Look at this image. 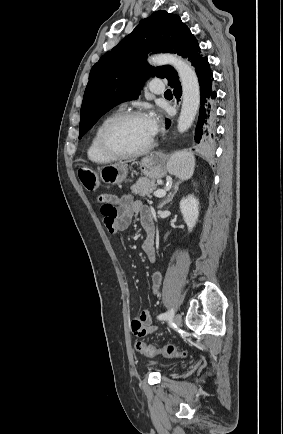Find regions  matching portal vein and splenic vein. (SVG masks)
Here are the masks:
<instances>
[{
    "mask_svg": "<svg viewBox=\"0 0 283 434\" xmlns=\"http://www.w3.org/2000/svg\"><path fill=\"white\" fill-rule=\"evenodd\" d=\"M154 195L156 196V197H163V196H165L166 195V190L164 189H162V190H157V191H155L154 192Z\"/></svg>",
    "mask_w": 283,
    "mask_h": 434,
    "instance_id": "18ae733b",
    "label": "portal vein and splenic vein"
}]
</instances>
